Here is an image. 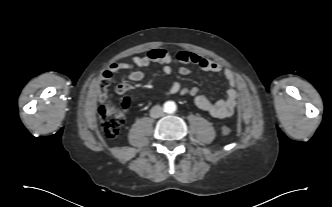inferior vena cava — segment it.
Masks as SVG:
<instances>
[{"instance_id": "obj_1", "label": "inferior vena cava", "mask_w": 332, "mask_h": 207, "mask_svg": "<svg viewBox=\"0 0 332 207\" xmlns=\"http://www.w3.org/2000/svg\"><path fill=\"white\" fill-rule=\"evenodd\" d=\"M163 108L159 105H156L154 107H152V109L150 110V116L152 118H159L161 116H163Z\"/></svg>"}]
</instances>
